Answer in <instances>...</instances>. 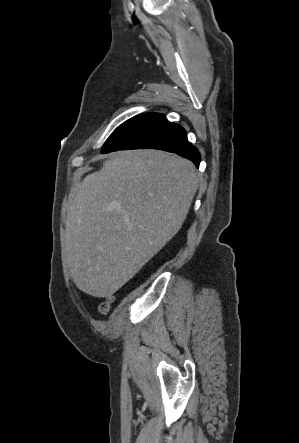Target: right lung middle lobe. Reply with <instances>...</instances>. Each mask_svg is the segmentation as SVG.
Listing matches in <instances>:
<instances>
[{"label":"right lung middle lobe","instance_id":"right-lung-middle-lobe-1","mask_svg":"<svg viewBox=\"0 0 299 443\" xmlns=\"http://www.w3.org/2000/svg\"><path fill=\"white\" fill-rule=\"evenodd\" d=\"M133 117L127 121H125L124 123H122L120 126H118L114 132L109 136V138L106 140L105 144L102 147V150L107 149L108 147H110L115 141L116 139L130 126V124L137 118Z\"/></svg>","mask_w":299,"mask_h":443}]
</instances>
